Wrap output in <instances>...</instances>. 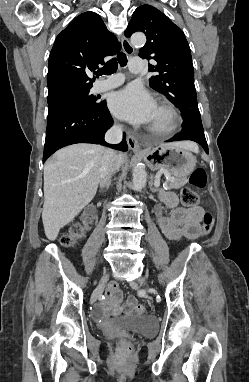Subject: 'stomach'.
<instances>
[{
  "instance_id": "stomach-1",
  "label": "stomach",
  "mask_w": 249,
  "mask_h": 382,
  "mask_svg": "<svg viewBox=\"0 0 249 382\" xmlns=\"http://www.w3.org/2000/svg\"><path fill=\"white\" fill-rule=\"evenodd\" d=\"M143 159L150 169L169 171L176 177H187L197 162L190 150L176 143L161 144L149 149Z\"/></svg>"
}]
</instances>
